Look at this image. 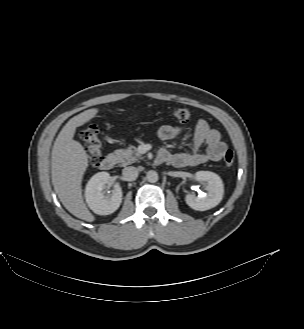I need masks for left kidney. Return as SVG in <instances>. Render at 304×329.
<instances>
[{"label": "left kidney", "mask_w": 304, "mask_h": 329, "mask_svg": "<svg viewBox=\"0 0 304 329\" xmlns=\"http://www.w3.org/2000/svg\"><path fill=\"white\" fill-rule=\"evenodd\" d=\"M197 181L207 182V193L202 196L187 194L185 201L194 210L205 211L217 206L224 194V186L221 178L210 171H198L195 173Z\"/></svg>", "instance_id": "obj_1"}]
</instances>
